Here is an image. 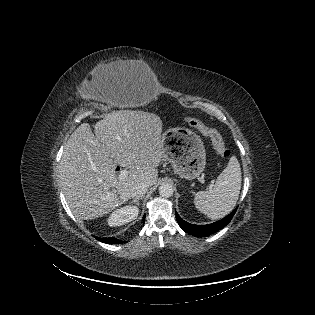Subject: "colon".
Wrapping results in <instances>:
<instances>
[{
    "label": "colon",
    "mask_w": 315,
    "mask_h": 315,
    "mask_svg": "<svg viewBox=\"0 0 315 315\" xmlns=\"http://www.w3.org/2000/svg\"><path fill=\"white\" fill-rule=\"evenodd\" d=\"M186 121L191 127L210 140L213 148L220 158L225 159L230 156V151L226 147L221 134L217 130L206 126L202 121L196 118H187Z\"/></svg>",
    "instance_id": "5ec220e1"
}]
</instances>
